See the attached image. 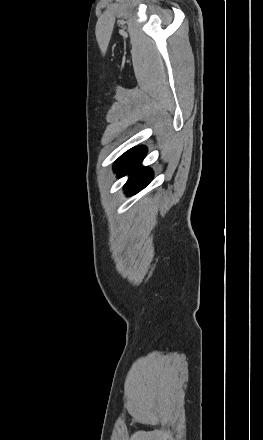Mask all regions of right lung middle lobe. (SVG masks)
I'll list each match as a JSON object with an SVG mask.
<instances>
[{
	"mask_svg": "<svg viewBox=\"0 0 263 440\" xmlns=\"http://www.w3.org/2000/svg\"><path fill=\"white\" fill-rule=\"evenodd\" d=\"M134 148L130 149L129 151H127L126 153H124L114 164V170L116 171L123 163L124 161L128 158V156L131 154V152L133 151Z\"/></svg>",
	"mask_w": 263,
	"mask_h": 440,
	"instance_id": "dd1d6c3e",
	"label": "right lung middle lobe"
}]
</instances>
